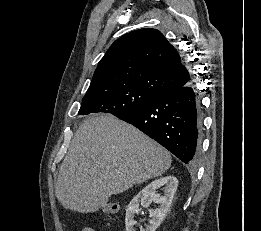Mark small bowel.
Instances as JSON below:
<instances>
[{
  "label": "small bowel",
  "mask_w": 261,
  "mask_h": 231,
  "mask_svg": "<svg viewBox=\"0 0 261 231\" xmlns=\"http://www.w3.org/2000/svg\"><path fill=\"white\" fill-rule=\"evenodd\" d=\"M82 231H97V230L91 227H85L82 229Z\"/></svg>",
  "instance_id": "1"
}]
</instances>
